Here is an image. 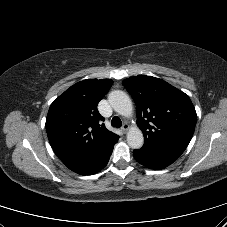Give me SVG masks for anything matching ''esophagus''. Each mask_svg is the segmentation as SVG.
I'll return each mask as SVG.
<instances>
[{"label": "esophagus", "mask_w": 227, "mask_h": 227, "mask_svg": "<svg viewBox=\"0 0 227 227\" xmlns=\"http://www.w3.org/2000/svg\"><path fill=\"white\" fill-rule=\"evenodd\" d=\"M129 128H130V126H129L127 123H125V124H123L121 130H122L124 133H126V132L129 130Z\"/></svg>", "instance_id": "esophagus-1"}]
</instances>
